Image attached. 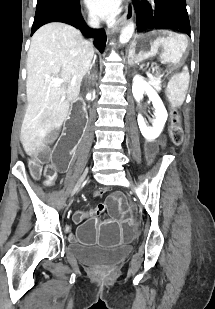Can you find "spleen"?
Wrapping results in <instances>:
<instances>
[{
	"mask_svg": "<svg viewBox=\"0 0 215 309\" xmlns=\"http://www.w3.org/2000/svg\"><path fill=\"white\" fill-rule=\"evenodd\" d=\"M187 86L188 80H186V68H184L183 72L172 76L165 90L166 96L172 106H181V104H183Z\"/></svg>",
	"mask_w": 215,
	"mask_h": 309,
	"instance_id": "1",
	"label": "spleen"
}]
</instances>
